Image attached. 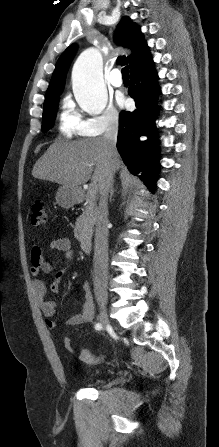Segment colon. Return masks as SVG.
Masks as SVG:
<instances>
[{
	"mask_svg": "<svg viewBox=\"0 0 219 447\" xmlns=\"http://www.w3.org/2000/svg\"><path fill=\"white\" fill-rule=\"evenodd\" d=\"M47 216L45 211V202L41 199L34 200L30 206V222L33 226H40L46 222ZM65 348L72 352L73 347L70 341L65 342ZM84 361L95 364L101 360V357L91 354L89 351L85 350Z\"/></svg>",
	"mask_w": 219,
	"mask_h": 447,
	"instance_id": "obj_1",
	"label": "colon"
}]
</instances>
